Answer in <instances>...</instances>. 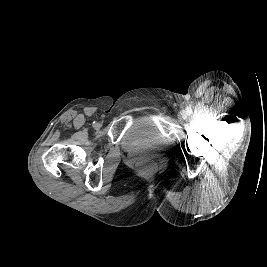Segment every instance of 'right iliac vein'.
<instances>
[{
  "mask_svg": "<svg viewBox=\"0 0 267 267\" xmlns=\"http://www.w3.org/2000/svg\"><path fill=\"white\" fill-rule=\"evenodd\" d=\"M96 128H99V123L98 124H96V126H95Z\"/></svg>",
  "mask_w": 267,
  "mask_h": 267,
  "instance_id": "63e3f726",
  "label": "right iliac vein"
}]
</instances>
